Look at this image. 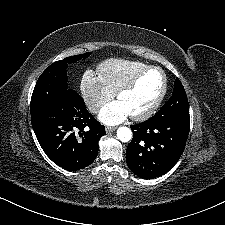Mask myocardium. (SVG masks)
Segmentation results:
<instances>
[{"label": "myocardium", "instance_id": "myocardium-1", "mask_svg": "<svg viewBox=\"0 0 225 225\" xmlns=\"http://www.w3.org/2000/svg\"><path fill=\"white\" fill-rule=\"evenodd\" d=\"M149 70H156L160 72V74L162 75L161 91L159 92L158 96L156 97L152 105L146 111L138 115H130V117L134 121H143L151 117L154 114V112L157 110V108L159 107L160 103L162 102L167 91V77L163 69L155 65H149L142 68L126 84H124L115 94L116 98L119 99L123 94L131 91L136 86L140 78Z\"/></svg>", "mask_w": 225, "mask_h": 225}]
</instances>
